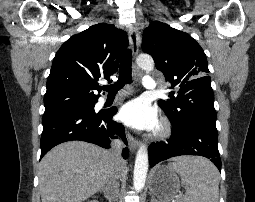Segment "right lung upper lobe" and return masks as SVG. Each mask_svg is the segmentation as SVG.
I'll return each mask as SVG.
<instances>
[{"label":"right lung upper lobe","instance_id":"1","mask_svg":"<svg viewBox=\"0 0 255 202\" xmlns=\"http://www.w3.org/2000/svg\"><path fill=\"white\" fill-rule=\"evenodd\" d=\"M128 45L126 33L112 24L100 23L70 37L56 53L47 91L45 113L97 102V81H110Z\"/></svg>","mask_w":255,"mask_h":202}]
</instances>
